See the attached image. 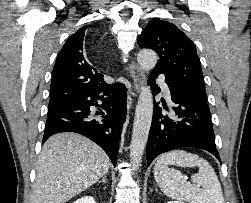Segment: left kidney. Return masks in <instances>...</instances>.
Returning a JSON list of instances; mask_svg holds the SVG:
<instances>
[{
	"label": "left kidney",
	"instance_id": "obj_1",
	"mask_svg": "<svg viewBox=\"0 0 251 203\" xmlns=\"http://www.w3.org/2000/svg\"><path fill=\"white\" fill-rule=\"evenodd\" d=\"M166 203H184V202H181V201H168Z\"/></svg>",
	"mask_w": 251,
	"mask_h": 203
}]
</instances>
